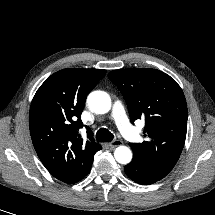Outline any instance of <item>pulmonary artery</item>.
I'll return each mask as SVG.
<instances>
[{"label":"pulmonary artery","instance_id":"e3ab8cb5","mask_svg":"<svg viewBox=\"0 0 215 215\" xmlns=\"http://www.w3.org/2000/svg\"><path fill=\"white\" fill-rule=\"evenodd\" d=\"M111 117L124 137L131 141L138 140L139 135L130 124L124 107L119 101L114 102L112 106Z\"/></svg>","mask_w":215,"mask_h":215}]
</instances>
